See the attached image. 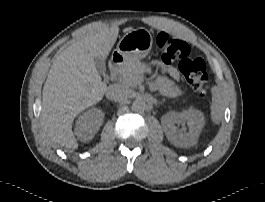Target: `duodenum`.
<instances>
[{
	"label": "duodenum",
	"mask_w": 265,
	"mask_h": 202,
	"mask_svg": "<svg viewBox=\"0 0 265 202\" xmlns=\"http://www.w3.org/2000/svg\"><path fill=\"white\" fill-rule=\"evenodd\" d=\"M123 61H124V56L119 52H115L112 55L111 60L109 62V71L111 75L115 76L118 73L119 68L123 63Z\"/></svg>",
	"instance_id": "410a0bca"
}]
</instances>
